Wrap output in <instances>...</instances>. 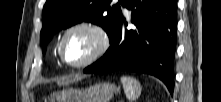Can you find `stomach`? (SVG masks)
<instances>
[{
	"label": "stomach",
	"instance_id": "obj_1",
	"mask_svg": "<svg viewBox=\"0 0 221 102\" xmlns=\"http://www.w3.org/2000/svg\"><path fill=\"white\" fill-rule=\"evenodd\" d=\"M116 91V86L110 83H99L85 89L66 88L54 92L50 102H108Z\"/></svg>",
	"mask_w": 221,
	"mask_h": 102
}]
</instances>
